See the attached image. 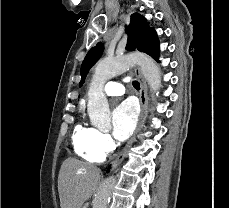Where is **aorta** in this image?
<instances>
[{
    "label": "aorta",
    "instance_id": "1",
    "mask_svg": "<svg viewBox=\"0 0 229 208\" xmlns=\"http://www.w3.org/2000/svg\"><path fill=\"white\" fill-rule=\"evenodd\" d=\"M134 64L139 65L150 89L157 92L161 86V72L157 63L143 54H129L124 57L101 60L97 63L88 90V114L91 123L101 130L110 127V109L104 94V84L112 77L126 71ZM158 93V92H157ZM116 177L103 181L92 202L93 208H107Z\"/></svg>",
    "mask_w": 229,
    "mask_h": 208
}]
</instances>
